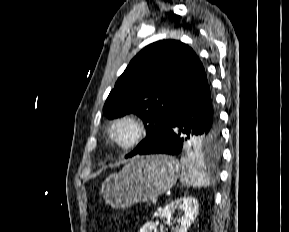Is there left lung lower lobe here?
<instances>
[{
	"label": "left lung lower lobe",
	"mask_w": 289,
	"mask_h": 232,
	"mask_svg": "<svg viewBox=\"0 0 289 232\" xmlns=\"http://www.w3.org/2000/svg\"><path fill=\"white\" fill-rule=\"evenodd\" d=\"M219 131L214 99L203 70L181 97L165 130L136 154L178 155L191 152L196 141L212 142Z\"/></svg>",
	"instance_id": "0a47b994"
}]
</instances>
